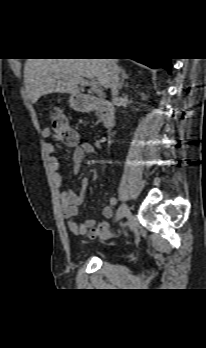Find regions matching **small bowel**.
I'll list each match as a JSON object with an SVG mask.
<instances>
[{
	"instance_id": "small-bowel-1",
	"label": "small bowel",
	"mask_w": 206,
	"mask_h": 348,
	"mask_svg": "<svg viewBox=\"0 0 206 348\" xmlns=\"http://www.w3.org/2000/svg\"><path fill=\"white\" fill-rule=\"evenodd\" d=\"M42 134L43 136L47 137L49 135V130L44 129ZM44 148L48 157V164L52 171L54 183L58 188H61L65 183V177L63 173L59 171V161L54 155L55 147L51 143H46ZM73 148V173H78L86 154L94 153L95 148L91 143L86 141H77L75 144H73ZM81 185V195H77L71 189H64L61 192V208L63 215L67 221L69 230L75 235H85L97 224L96 220L92 218L85 219L80 223L76 221V216L80 212L81 204L83 203L85 194L89 189V179L86 177L82 178ZM101 211L104 218H110L113 214L112 207L107 204L101 205Z\"/></svg>"
}]
</instances>
